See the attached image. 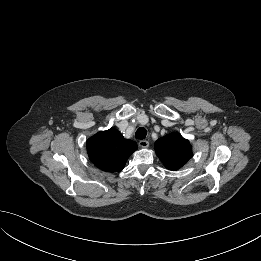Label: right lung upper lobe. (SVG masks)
Here are the masks:
<instances>
[{
	"label": "right lung upper lobe",
	"mask_w": 261,
	"mask_h": 261,
	"mask_svg": "<svg viewBox=\"0 0 261 261\" xmlns=\"http://www.w3.org/2000/svg\"><path fill=\"white\" fill-rule=\"evenodd\" d=\"M86 146L91 162L106 172L122 170L129 156L137 149L134 141L125 139L112 128L89 138Z\"/></svg>",
	"instance_id": "obj_1"
}]
</instances>
